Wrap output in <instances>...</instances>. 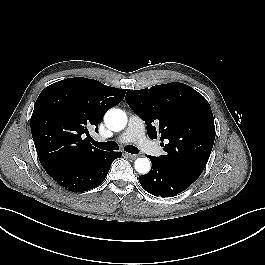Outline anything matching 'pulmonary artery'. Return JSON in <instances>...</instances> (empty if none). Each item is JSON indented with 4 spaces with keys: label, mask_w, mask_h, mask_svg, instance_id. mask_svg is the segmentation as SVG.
Here are the masks:
<instances>
[{
    "label": "pulmonary artery",
    "mask_w": 265,
    "mask_h": 265,
    "mask_svg": "<svg viewBox=\"0 0 265 265\" xmlns=\"http://www.w3.org/2000/svg\"><path fill=\"white\" fill-rule=\"evenodd\" d=\"M119 142H135L140 147L147 148L152 155L160 156L163 153L160 147L156 146L148 139H146L144 123L136 115L130 116L128 127L125 132L119 137Z\"/></svg>",
    "instance_id": "pulmonary-artery-1"
}]
</instances>
